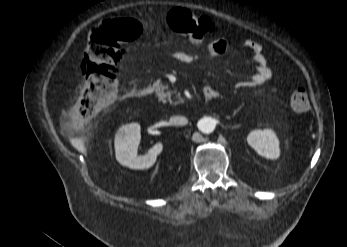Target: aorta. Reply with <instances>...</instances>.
Instances as JSON below:
<instances>
[{"label":"aorta","mask_w":347,"mask_h":247,"mask_svg":"<svg viewBox=\"0 0 347 247\" xmlns=\"http://www.w3.org/2000/svg\"><path fill=\"white\" fill-rule=\"evenodd\" d=\"M216 120L211 117H204L199 121V128L204 134H210L215 130Z\"/></svg>","instance_id":"obj_1"}]
</instances>
